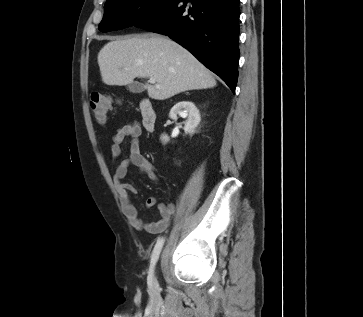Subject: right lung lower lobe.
<instances>
[{"label":"right lung lower lobe","instance_id":"right-lung-lower-lobe-1","mask_svg":"<svg viewBox=\"0 0 363 317\" xmlns=\"http://www.w3.org/2000/svg\"><path fill=\"white\" fill-rule=\"evenodd\" d=\"M239 0H176L136 27L169 36L235 92L239 61Z\"/></svg>","mask_w":363,"mask_h":317}]
</instances>
